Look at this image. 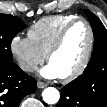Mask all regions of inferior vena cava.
I'll use <instances>...</instances> for the list:
<instances>
[{
  "label": "inferior vena cava",
  "mask_w": 107,
  "mask_h": 107,
  "mask_svg": "<svg viewBox=\"0 0 107 107\" xmlns=\"http://www.w3.org/2000/svg\"><path fill=\"white\" fill-rule=\"evenodd\" d=\"M20 68L26 72H33L37 70V66L29 63H21Z\"/></svg>",
  "instance_id": "602c4592"
}]
</instances>
